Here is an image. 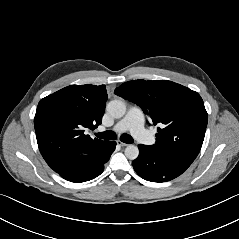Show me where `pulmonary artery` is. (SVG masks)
I'll use <instances>...</instances> for the list:
<instances>
[{
    "label": "pulmonary artery",
    "instance_id": "1",
    "mask_svg": "<svg viewBox=\"0 0 239 239\" xmlns=\"http://www.w3.org/2000/svg\"><path fill=\"white\" fill-rule=\"evenodd\" d=\"M112 130L115 132L129 130L139 142L146 145L155 143L154 136L144 127L143 112L137 107H131L125 117L118 121Z\"/></svg>",
    "mask_w": 239,
    "mask_h": 239
}]
</instances>
